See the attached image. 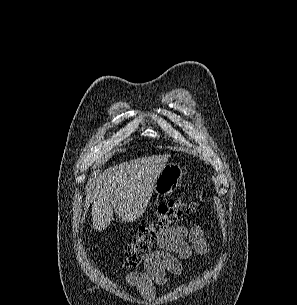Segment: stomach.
Here are the masks:
<instances>
[{
  "instance_id": "obj_1",
  "label": "stomach",
  "mask_w": 297,
  "mask_h": 305,
  "mask_svg": "<svg viewBox=\"0 0 297 305\" xmlns=\"http://www.w3.org/2000/svg\"><path fill=\"white\" fill-rule=\"evenodd\" d=\"M183 177V169L177 163H168L162 169L153 186L158 196H168L179 186Z\"/></svg>"
}]
</instances>
